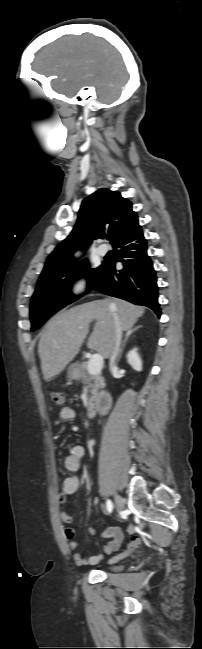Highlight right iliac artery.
Wrapping results in <instances>:
<instances>
[{"instance_id":"82829eb1","label":"right iliac artery","mask_w":202,"mask_h":649,"mask_svg":"<svg viewBox=\"0 0 202 649\" xmlns=\"http://www.w3.org/2000/svg\"><path fill=\"white\" fill-rule=\"evenodd\" d=\"M106 507H107L108 512L111 513L112 510H113V503L111 502V500L108 499L106 501Z\"/></svg>"}]
</instances>
